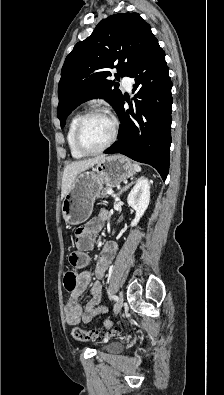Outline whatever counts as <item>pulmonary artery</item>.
<instances>
[{"label": "pulmonary artery", "mask_w": 224, "mask_h": 395, "mask_svg": "<svg viewBox=\"0 0 224 395\" xmlns=\"http://www.w3.org/2000/svg\"><path fill=\"white\" fill-rule=\"evenodd\" d=\"M122 85H123L125 90L130 91L131 90V86H132L131 78L128 77V76H124L122 78Z\"/></svg>", "instance_id": "e3ab8cb5"}]
</instances>
